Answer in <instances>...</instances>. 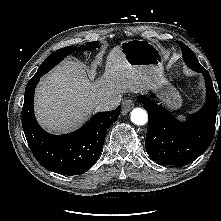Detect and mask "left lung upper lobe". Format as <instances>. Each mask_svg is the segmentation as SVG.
<instances>
[{"instance_id":"1","label":"left lung upper lobe","mask_w":221,"mask_h":221,"mask_svg":"<svg viewBox=\"0 0 221 221\" xmlns=\"http://www.w3.org/2000/svg\"><path fill=\"white\" fill-rule=\"evenodd\" d=\"M177 43L182 49L184 61L186 62V64L193 70L202 68L193 51L190 50V48H188L183 42L177 41Z\"/></svg>"}]
</instances>
